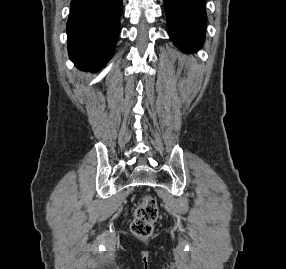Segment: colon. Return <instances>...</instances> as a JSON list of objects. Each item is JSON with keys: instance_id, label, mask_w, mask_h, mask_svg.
<instances>
[{"instance_id": "obj_1", "label": "colon", "mask_w": 286, "mask_h": 269, "mask_svg": "<svg viewBox=\"0 0 286 269\" xmlns=\"http://www.w3.org/2000/svg\"><path fill=\"white\" fill-rule=\"evenodd\" d=\"M158 219V204L151 196H144L137 205L131 230L138 237H148L153 231V225Z\"/></svg>"}]
</instances>
